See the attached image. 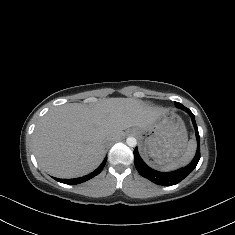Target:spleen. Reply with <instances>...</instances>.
<instances>
[{"instance_id": "spleen-1", "label": "spleen", "mask_w": 235, "mask_h": 235, "mask_svg": "<svg viewBox=\"0 0 235 235\" xmlns=\"http://www.w3.org/2000/svg\"><path fill=\"white\" fill-rule=\"evenodd\" d=\"M196 148H197L196 141L191 139L187 145V148H186L184 154L180 158L173 160V161L165 164L164 166H162L160 168H156V169L159 171H162V172H168V171H173V170H176L180 167L186 166L193 159L195 152H196Z\"/></svg>"}]
</instances>
